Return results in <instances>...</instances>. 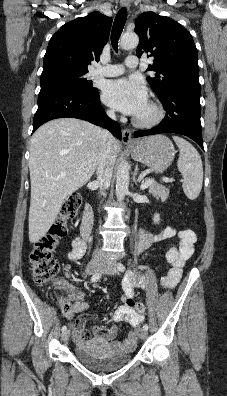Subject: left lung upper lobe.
<instances>
[{"label":"left lung upper lobe","mask_w":227,"mask_h":396,"mask_svg":"<svg viewBox=\"0 0 227 396\" xmlns=\"http://www.w3.org/2000/svg\"><path fill=\"white\" fill-rule=\"evenodd\" d=\"M135 32L140 38L137 56L147 53V57L154 58L147 71L156 74L148 76L147 81L158 98L175 88H200L197 49L182 25L169 17L145 12L136 19Z\"/></svg>","instance_id":"obj_1"}]
</instances>
